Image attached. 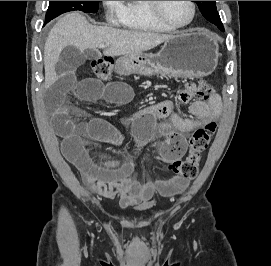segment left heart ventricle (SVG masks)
Segmentation results:
<instances>
[{"label":"left heart ventricle","instance_id":"left-heart-ventricle-1","mask_svg":"<svg viewBox=\"0 0 271 266\" xmlns=\"http://www.w3.org/2000/svg\"><path fill=\"white\" fill-rule=\"evenodd\" d=\"M164 15L173 23L186 24L192 15L189 1H162Z\"/></svg>","mask_w":271,"mask_h":266}]
</instances>
